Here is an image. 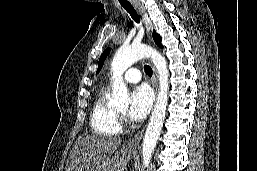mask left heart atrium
I'll list each match as a JSON object with an SVG mask.
<instances>
[{
    "instance_id": "left-heart-atrium-1",
    "label": "left heart atrium",
    "mask_w": 257,
    "mask_h": 171,
    "mask_svg": "<svg viewBox=\"0 0 257 171\" xmlns=\"http://www.w3.org/2000/svg\"><path fill=\"white\" fill-rule=\"evenodd\" d=\"M153 95L147 86H138L131 93V104L128 115L132 120L143 119L150 111Z\"/></svg>"
}]
</instances>
